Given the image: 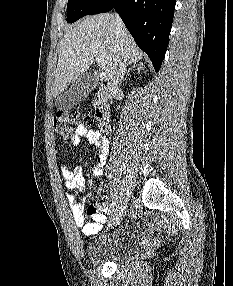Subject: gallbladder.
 Returning a JSON list of instances; mask_svg holds the SVG:
<instances>
[{
    "label": "gallbladder",
    "instance_id": "bac80fb5",
    "mask_svg": "<svg viewBox=\"0 0 233 286\" xmlns=\"http://www.w3.org/2000/svg\"><path fill=\"white\" fill-rule=\"evenodd\" d=\"M96 82L94 73L85 72L79 76L68 90L57 97L55 103L57 109L66 111L73 108L86 98L96 85Z\"/></svg>",
    "mask_w": 233,
    "mask_h": 286
}]
</instances>
